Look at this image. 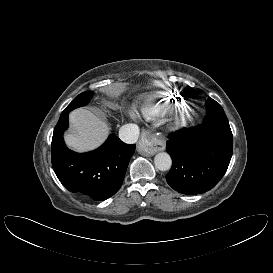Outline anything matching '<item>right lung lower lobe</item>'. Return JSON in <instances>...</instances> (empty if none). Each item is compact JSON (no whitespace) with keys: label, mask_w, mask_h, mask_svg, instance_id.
Segmentation results:
<instances>
[{"label":"right lung lower lobe","mask_w":273,"mask_h":273,"mask_svg":"<svg viewBox=\"0 0 273 273\" xmlns=\"http://www.w3.org/2000/svg\"><path fill=\"white\" fill-rule=\"evenodd\" d=\"M69 113L60 116L51 143L53 170L70 192L90 196L95 201L114 195L124 180L135 145L123 143L110 135L98 149L88 153H75L68 149L63 132L68 128Z\"/></svg>","instance_id":"1"}]
</instances>
